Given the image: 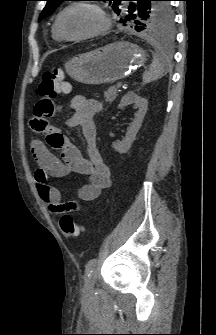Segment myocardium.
I'll return each mask as SVG.
<instances>
[{
  "mask_svg": "<svg viewBox=\"0 0 216 335\" xmlns=\"http://www.w3.org/2000/svg\"><path fill=\"white\" fill-rule=\"evenodd\" d=\"M79 6H85V7L91 8L94 11H96L102 20V24L99 28L92 30L88 33H85L79 36H68L62 31L61 26H60V20L67 11H69L72 8L79 7ZM111 26H112L111 18L109 17V15L106 13V11L103 9L102 6H100L99 4L93 3V2H85V1L73 2L69 4L68 6H66L65 8H63L58 13L55 19V22H54V29L57 32V34L63 40H67V41H81V40H86V39H90V38L103 35L111 28Z\"/></svg>",
  "mask_w": 216,
  "mask_h": 335,
  "instance_id": "f54148a6",
  "label": "myocardium"
}]
</instances>
